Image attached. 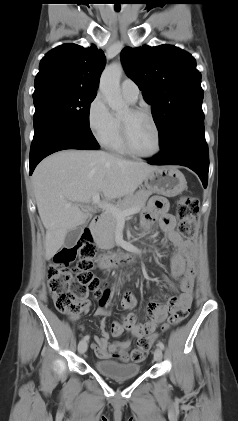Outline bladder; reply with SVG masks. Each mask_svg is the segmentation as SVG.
<instances>
[{
  "label": "bladder",
  "instance_id": "obj_1",
  "mask_svg": "<svg viewBox=\"0 0 238 421\" xmlns=\"http://www.w3.org/2000/svg\"><path fill=\"white\" fill-rule=\"evenodd\" d=\"M94 365L99 373L115 380L134 378L139 375L141 370L140 365L136 362H119L113 359H99Z\"/></svg>",
  "mask_w": 238,
  "mask_h": 421
}]
</instances>
